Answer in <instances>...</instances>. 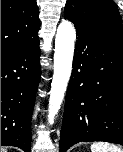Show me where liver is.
Returning a JSON list of instances; mask_svg holds the SVG:
<instances>
[{"label": "liver", "instance_id": "6515ba94", "mask_svg": "<svg viewBox=\"0 0 123 152\" xmlns=\"http://www.w3.org/2000/svg\"><path fill=\"white\" fill-rule=\"evenodd\" d=\"M1 152H7V148L6 147H1Z\"/></svg>", "mask_w": 123, "mask_h": 152}]
</instances>
